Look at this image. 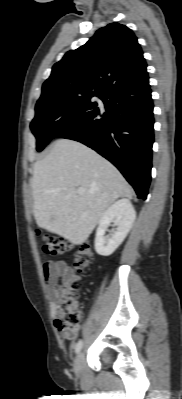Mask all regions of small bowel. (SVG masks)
Here are the masks:
<instances>
[{
	"label": "small bowel",
	"instance_id": "small-bowel-1",
	"mask_svg": "<svg viewBox=\"0 0 182 399\" xmlns=\"http://www.w3.org/2000/svg\"><path fill=\"white\" fill-rule=\"evenodd\" d=\"M47 293L50 301L51 314L55 318L58 303L72 290V285L78 280L74 270L65 261H46L42 267ZM62 334V333H61ZM68 338L63 335L65 338Z\"/></svg>",
	"mask_w": 182,
	"mask_h": 399
}]
</instances>
